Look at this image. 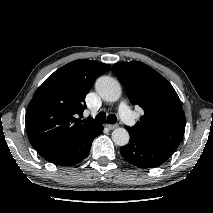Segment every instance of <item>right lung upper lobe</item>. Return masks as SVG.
<instances>
[{
	"label": "right lung upper lobe",
	"mask_w": 213,
	"mask_h": 213,
	"mask_svg": "<svg viewBox=\"0 0 213 213\" xmlns=\"http://www.w3.org/2000/svg\"><path fill=\"white\" fill-rule=\"evenodd\" d=\"M111 67L92 60L72 61L51 74L37 89L26 110V130L32 146L72 143L99 124L77 119L95 80Z\"/></svg>",
	"instance_id": "obj_1"
}]
</instances>
